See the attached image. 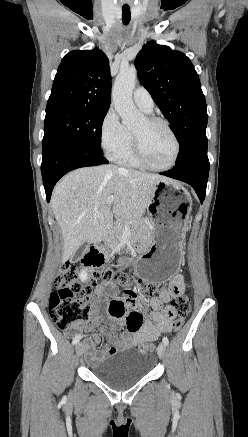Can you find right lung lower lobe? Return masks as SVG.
Returning a JSON list of instances; mask_svg holds the SVG:
<instances>
[{"mask_svg":"<svg viewBox=\"0 0 248 437\" xmlns=\"http://www.w3.org/2000/svg\"><path fill=\"white\" fill-rule=\"evenodd\" d=\"M103 153L72 142H55L43 147L41 173L49 202L56 182L66 173L77 168L107 164Z\"/></svg>","mask_w":248,"mask_h":437,"instance_id":"98d812e1","label":"right lung lower lobe"}]
</instances>
